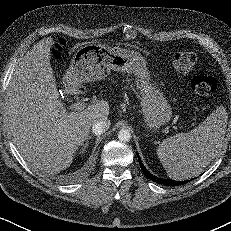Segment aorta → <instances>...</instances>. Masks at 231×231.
<instances>
[{"mask_svg":"<svg viewBox=\"0 0 231 231\" xmlns=\"http://www.w3.org/2000/svg\"><path fill=\"white\" fill-rule=\"evenodd\" d=\"M118 139L120 142H129L130 139H131V133L129 130H126V129H121L119 132H118Z\"/></svg>","mask_w":231,"mask_h":231,"instance_id":"aorta-1","label":"aorta"}]
</instances>
